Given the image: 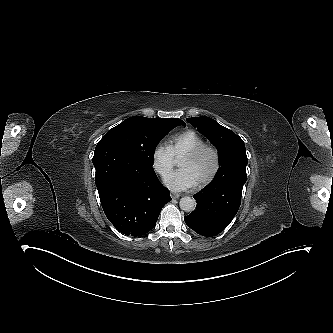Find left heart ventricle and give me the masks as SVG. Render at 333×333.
Instances as JSON below:
<instances>
[{
	"mask_svg": "<svg viewBox=\"0 0 333 333\" xmlns=\"http://www.w3.org/2000/svg\"><path fill=\"white\" fill-rule=\"evenodd\" d=\"M212 166V156L209 152H203L197 159L185 163L183 168L186 169L191 177L198 180L204 177Z\"/></svg>",
	"mask_w": 333,
	"mask_h": 333,
	"instance_id": "obj_1",
	"label": "left heart ventricle"
}]
</instances>
